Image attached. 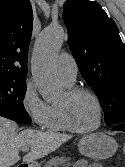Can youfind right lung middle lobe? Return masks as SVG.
<instances>
[{
  "mask_svg": "<svg viewBox=\"0 0 125 167\" xmlns=\"http://www.w3.org/2000/svg\"><path fill=\"white\" fill-rule=\"evenodd\" d=\"M25 81L0 78V102L24 109L23 98L26 93Z\"/></svg>",
  "mask_w": 125,
  "mask_h": 167,
  "instance_id": "right-lung-middle-lobe-1",
  "label": "right lung middle lobe"
}]
</instances>
